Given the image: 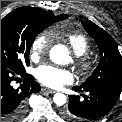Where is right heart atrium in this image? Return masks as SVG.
Here are the masks:
<instances>
[{"label": "right heart atrium", "mask_w": 122, "mask_h": 122, "mask_svg": "<svg viewBox=\"0 0 122 122\" xmlns=\"http://www.w3.org/2000/svg\"><path fill=\"white\" fill-rule=\"evenodd\" d=\"M51 35L45 31L40 33L33 41L31 45V56L34 60H38L43 56L50 48Z\"/></svg>", "instance_id": "1"}]
</instances>
